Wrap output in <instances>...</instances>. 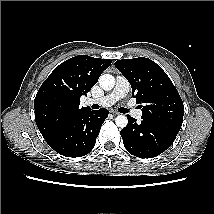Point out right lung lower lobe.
Returning <instances> with one entry per match:
<instances>
[{"mask_svg":"<svg viewBox=\"0 0 214 214\" xmlns=\"http://www.w3.org/2000/svg\"><path fill=\"white\" fill-rule=\"evenodd\" d=\"M108 114L109 111L104 108L87 110L63 123L44 139L53 150L63 156H84L93 149Z\"/></svg>","mask_w":214,"mask_h":214,"instance_id":"obj_1","label":"right lung lower lobe"}]
</instances>
